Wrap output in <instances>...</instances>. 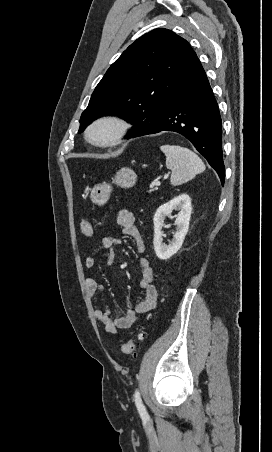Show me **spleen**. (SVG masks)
I'll use <instances>...</instances> for the list:
<instances>
[{
  "label": "spleen",
  "mask_w": 272,
  "mask_h": 452,
  "mask_svg": "<svg viewBox=\"0 0 272 452\" xmlns=\"http://www.w3.org/2000/svg\"><path fill=\"white\" fill-rule=\"evenodd\" d=\"M160 149L166 156V166L172 172L170 181L174 186L188 182L205 170L200 157L188 148L166 144Z\"/></svg>",
  "instance_id": "1"
}]
</instances>
